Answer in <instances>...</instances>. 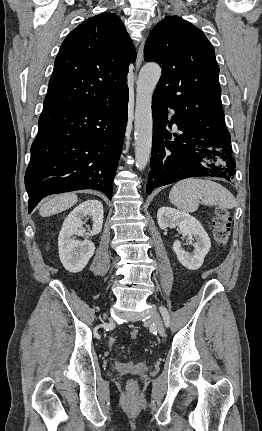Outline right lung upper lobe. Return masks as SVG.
<instances>
[{
	"mask_svg": "<svg viewBox=\"0 0 262 431\" xmlns=\"http://www.w3.org/2000/svg\"><path fill=\"white\" fill-rule=\"evenodd\" d=\"M136 52L116 14L96 15L61 44L44 100L45 108L98 106L115 101L127 87Z\"/></svg>",
	"mask_w": 262,
	"mask_h": 431,
	"instance_id": "right-lung-upper-lobe-1",
	"label": "right lung upper lobe"
}]
</instances>
